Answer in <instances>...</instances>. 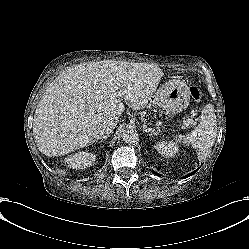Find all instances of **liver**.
Here are the masks:
<instances>
[{
  "label": "liver",
  "mask_w": 249,
  "mask_h": 249,
  "mask_svg": "<svg viewBox=\"0 0 249 249\" xmlns=\"http://www.w3.org/2000/svg\"><path fill=\"white\" fill-rule=\"evenodd\" d=\"M161 78L160 70L114 62L82 65L56 78L35 111L36 145L47 156H60L93 142L101 124L117 120L122 103L146 107Z\"/></svg>",
  "instance_id": "obj_1"
}]
</instances>
